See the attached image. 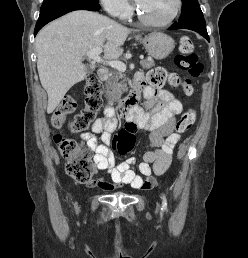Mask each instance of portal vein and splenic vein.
<instances>
[{"instance_id":"portal-vein-and-splenic-vein-1","label":"portal vein and splenic vein","mask_w":248,"mask_h":258,"mask_svg":"<svg viewBox=\"0 0 248 258\" xmlns=\"http://www.w3.org/2000/svg\"><path fill=\"white\" fill-rule=\"evenodd\" d=\"M101 49L96 48L91 51H89L86 55L88 58L102 64L109 65L110 67H113L121 72H124L126 70V65L125 63L118 61V60H103L100 57ZM143 59V57H141Z\"/></svg>"}]
</instances>
